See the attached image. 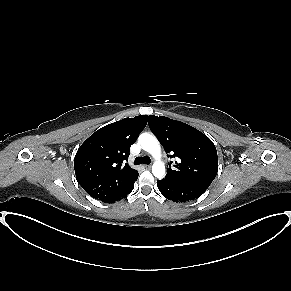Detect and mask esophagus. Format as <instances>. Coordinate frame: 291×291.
Listing matches in <instances>:
<instances>
[{
	"mask_svg": "<svg viewBox=\"0 0 291 291\" xmlns=\"http://www.w3.org/2000/svg\"><path fill=\"white\" fill-rule=\"evenodd\" d=\"M144 167H145L146 169H150V168H151V165H144Z\"/></svg>",
	"mask_w": 291,
	"mask_h": 291,
	"instance_id": "obj_1",
	"label": "esophagus"
}]
</instances>
